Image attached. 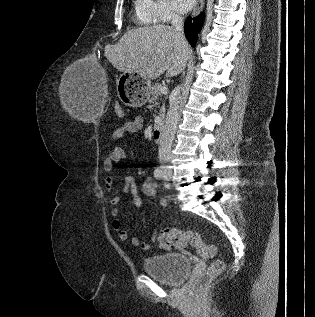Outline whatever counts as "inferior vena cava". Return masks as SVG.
Wrapping results in <instances>:
<instances>
[{
  "label": "inferior vena cava",
  "instance_id": "1",
  "mask_svg": "<svg viewBox=\"0 0 315 317\" xmlns=\"http://www.w3.org/2000/svg\"><path fill=\"white\" fill-rule=\"evenodd\" d=\"M172 27L176 30L178 36L185 40L183 32V18L178 14L172 15ZM181 87L178 86L175 91L174 97L170 101L169 111L166 116L165 126L163 129L162 137L159 143V161L162 164V170L167 171L169 168L164 166L165 163L169 162L171 159V147L177 130L178 120H179V105L178 96L180 94Z\"/></svg>",
  "mask_w": 315,
  "mask_h": 317
}]
</instances>
